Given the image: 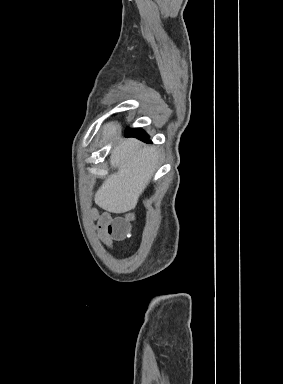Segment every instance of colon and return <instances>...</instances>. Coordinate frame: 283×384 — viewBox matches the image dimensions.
<instances>
[{
  "mask_svg": "<svg viewBox=\"0 0 283 384\" xmlns=\"http://www.w3.org/2000/svg\"><path fill=\"white\" fill-rule=\"evenodd\" d=\"M130 231V222L126 218L114 219L110 225V234L116 239H122Z\"/></svg>",
  "mask_w": 283,
  "mask_h": 384,
  "instance_id": "obj_1",
  "label": "colon"
}]
</instances>
